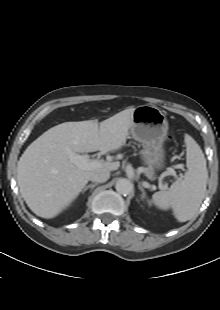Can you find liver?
<instances>
[{
  "instance_id": "liver-1",
  "label": "liver",
  "mask_w": 220,
  "mask_h": 310,
  "mask_svg": "<svg viewBox=\"0 0 220 310\" xmlns=\"http://www.w3.org/2000/svg\"><path fill=\"white\" fill-rule=\"evenodd\" d=\"M135 108L125 109L102 121L65 122L33 141L20 157L17 183L30 210L42 218H53L79 195L91 175L115 171L119 162H103L82 170L70 162L68 152H113L126 142Z\"/></svg>"
}]
</instances>
